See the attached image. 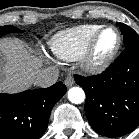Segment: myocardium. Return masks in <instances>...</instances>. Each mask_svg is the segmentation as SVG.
<instances>
[{
    "instance_id": "1",
    "label": "myocardium",
    "mask_w": 139,
    "mask_h": 139,
    "mask_svg": "<svg viewBox=\"0 0 139 139\" xmlns=\"http://www.w3.org/2000/svg\"><path fill=\"white\" fill-rule=\"evenodd\" d=\"M107 30H114L117 34V44L113 51L103 59L95 58V49L100 36ZM123 38L120 30L112 25L101 27L90 39L85 51L80 57L81 68L89 74H99L107 70L118 56L122 47Z\"/></svg>"
}]
</instances>
